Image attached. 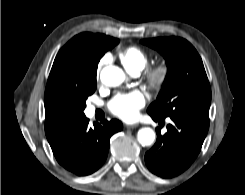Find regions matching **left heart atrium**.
<instances>
[{
	"label": "left heart atrium",
	"mask_w": 245,
	"mask_h": 195,
	"mask_svg": "<svg viewBox=\"0 0 245 195\" xmlns=\"http://www.w3.org/2000/svg\"><path fill=\"white\" fill-rule=\"evenodd\" d=\"M144 105V94L138 90H134L128 93L117 94L109 102L108 108L115 116L125 121H132L137 118L139 110Z\"/></svg>",
	"instance_id": "1"
}]
</instances>
